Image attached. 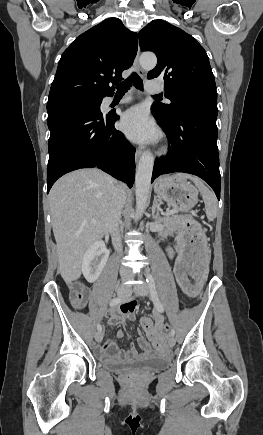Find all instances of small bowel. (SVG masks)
<instances>
[{
    "label": "small bowel",
    "instance_id": "c3829d8e",
    "mask_svg": "<svg viewBox=\"0 0 263 435\" xmlns=\"http://www.w3.org/2000/svg\"><path fill=\"white\" fill-rule=\"evenodd\" d=\"M169 255L174 259V270L177 269V262L183 260V254L180 253L177 257L174 256L172 251H169ZM137 304L131 302L126 305L119 306L108 312L107 318L111 326L118 324H125L127 321H134L136 319L135 311ZM143 329L146 331L150 342L139 335L137 343L142 350L140 353L135 345H131L129 349H121L111 340H106L103 344L97 346L96 355L99 359L104 361H131L137 360L147 355H161L165 348L164 339V318L161 314H154V323L150 317H143L141 319ZM124 336L122 331L117 333L118 338Z\"/></svg>",
    "mask_w": 263,
    "mask_h": 435
}]
</instances>
